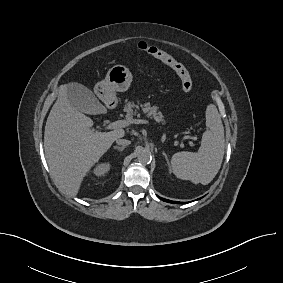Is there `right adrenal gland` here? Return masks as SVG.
Masks as SVG:
<instances>
[{
    "instance_id": "2a0ac1e0",
    "label": "right adrenal gland",
    "mask_w": 283,
    "mask_h": 283,
    "mask_svg": "<svg viewBox=\"0 0 283 283\" xmlns=\"http://www.w3.org/2000/svg\"><path fill=\"white\" fill-rule=\"evenodd\" d=\"M113 148H114V149H117V150H119V151H121V152L125 149L124 146H121V147H120V146H114Z\"/></svg>"
}]
</instances>
